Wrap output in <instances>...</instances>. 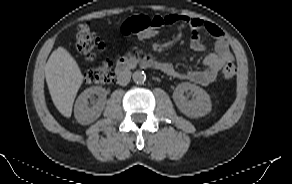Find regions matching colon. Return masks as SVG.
Masks as SVG:
<instances>
[{
  "mask_svg": "<svg viewBox=\"0 0 292 184\" xmlns=\"http://www.w3.org/2000/svg\"><path fill=\"white\" fill-rule=\"evenodd\" d=\"M160 22L155 17L146 15L133 16L125 20L121 31L125 35L136 34L144 40H153L159 36L161 30ZM75 46L79 53L92 59L96 53L103 49L104 44L92 30L88 23L81 24L75 37ZM113 63L106 59L96 67L85 72L84 78L87 83L107 84L113 81ZM236 75V67L232 63H227L221 76L225 80H231Z\"/></svg>",
  "mask_w": 292,
  "mask_h": 184,
  "instance_id": "5ec220e1",
  "label": "colon"
}]
</instances>
